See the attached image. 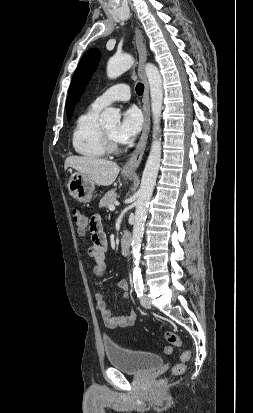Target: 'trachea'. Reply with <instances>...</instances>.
Segmentation results:
<instances>
[{
  "label": "trachea",
  "instance_id": "obj_1",
  "mask_svg": "<svg viewBox=\"0 0 253 413\" xmlns=\"http://www.w3.org/2000/svg\"><path fill=\"white\" fill-rule=\"evenodd\" d=\"M144 91V85L142 83H138L136 85V93L141 96L143 94Z\"/></svg>",
  "mask_w": 253,
  "mask_h": 413
}]
</instances>
